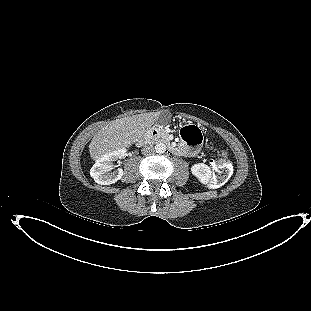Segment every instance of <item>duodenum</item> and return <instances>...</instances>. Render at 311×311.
I'll return each mask as SVG.
<instances>
[{
  "instance_id": "duodenum-1",
  "label": "duodenum",
  "mask_w": 311,
  "mask_h": 311,
  "mask_svg": "<svg viewBox=\"0 0 311 311\" xmlns=\"http://www.w3.org/2000/svg\"><path fill=\"white\" fill-rule=\"evenodd\" d=\"M160 137H161V133H160L159 129L151 128L147 133L144 134V136L142 138H140L137 141V144L138 145H143V144H145L146 142H148L151 139H156V138H160ZM170 151L172 153H177L178 152L177 149L174 148V147H171Z\"/></svg>"
}]
</instances>
